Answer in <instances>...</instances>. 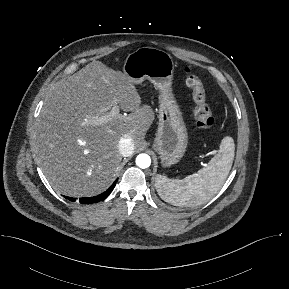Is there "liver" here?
<instances>
[{
    "label": "liver",
    "mask_w": 289,
    "mask_h": 289,
    "mask_svg": "<svg viewBox=\"0 0 289 289\" xmlns=\"http://www.w3.org/2000/svg\"><path fill=\"white\" fill-rule=\"evenodd\" d=\"M114 106L130 114L93 123ZM153 119L152 109L142 105L127 75L92 61L45 99L33 136L37 161L58 193L97 195L116 177L122 160L120 139L129 136L138 147Z\"/></svg>",
    "instance_id": "6515ba94"
}]
</instances>
